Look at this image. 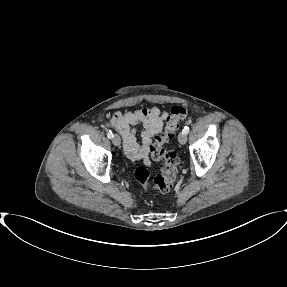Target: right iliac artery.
I'll list each match as a JSON object with an SVG mask.
<instances>
[{
    "instance_id": "1",
    "label": "right iliac artery",
    "mask_w": 287,
    "mask_h": 287,
    "mask_svg": "<svg viewBox=\"0 0 287 287\" xmlns=\"http://www.w3.org/2000/svg\"><path fill=\"white\" fill-rule=\"evenodd\" d=\"M107 136H108V138H113V133H112V131L111 130H109V131H107Z\"/></svg>"
}]
</instances>
